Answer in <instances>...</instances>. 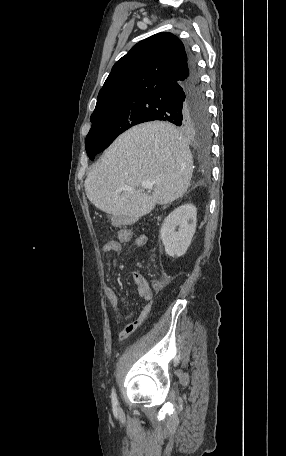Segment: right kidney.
<instances>
[{
    "mask_svg": "<svg viewBox=\"0 0 286 456\" xmlns=\"http://www.w3.org/2000/svg\"><path fill=\"white\" fill-rule=\"evenodd\" d=\"M196 216V207L184 204L165 218L160 229V238L167 255L179 257L185 254L196 230Z\"/></svg>",
    "mask_w": 286,
    "mask_h": 456,
    "instance_id": "right-kidney-1",
    "label": "right kidney"
}]
</instances>
